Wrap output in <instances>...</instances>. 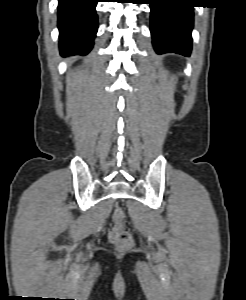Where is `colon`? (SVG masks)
I'll return each instance as SVG.
<instances>
[{
	"label": "colon",
	"instance_id": "5ec220e1",
	"mask_svg": "<svg viewBox=\"0 0 246 300\" xmlns=\"http://www.w3.org/2000/svg\"><path fill=\"white\" fill-rule=\"evenodd\" d=\"M114 225L108 231V239L119 248H128L132 245V237L124 228L125 214L120 207L113 211Z\"/></svg>",
	"mask_w": 246,
	"mask_h": 300
}]
</instances>
